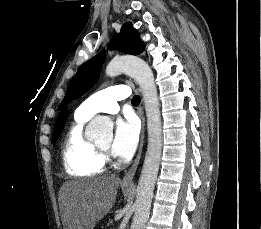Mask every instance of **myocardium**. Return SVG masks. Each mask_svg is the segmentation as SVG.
Here are the masks:
<instances>
[{
	"mask_svg": "<svg viewBox=\"0 0 261 229\" xmlns=\"http://www.w3.org/2000/svg\"><path fill=\"white\" fill-rule=\"evenodd\" d=\"M98 147H99V149L102 151V152H108V148H106V147H103V146H101V145H98Z\"/></svg>",
	"mask_w": 261,
	"mask_h": 229,
	"instance_id": "f54148a6",
	"label": "myocardium"
}]
</instances>
